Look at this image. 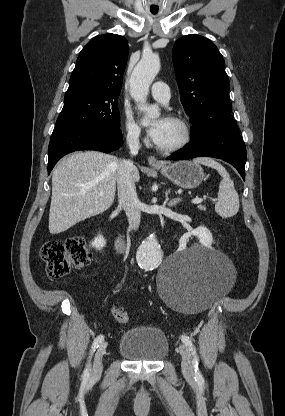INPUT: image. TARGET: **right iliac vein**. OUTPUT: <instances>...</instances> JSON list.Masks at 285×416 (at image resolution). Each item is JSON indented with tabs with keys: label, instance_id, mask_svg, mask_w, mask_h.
<instances>
[{
	"label": "right iliac vein",
	"instance_id": "right-iliac-vein-1",
	"mask_svg": "<svg viewBox=\"0 0 285 416\" xmlns=\"http://www.w3.org/2000/svg\"><path fill=\"white\" fill-rule=\"evenodd\" d=\"M107 347H108L107 342L101 343L94 355L93 367L91 371L93 376H98L103 369L102 358L106 352Z\"/></svg>",
	"mask_w": 285,
	"mask_h": 416
}]
</instances>
